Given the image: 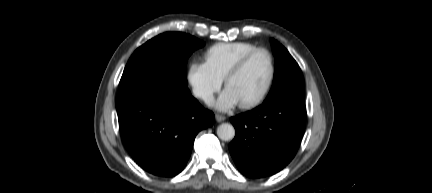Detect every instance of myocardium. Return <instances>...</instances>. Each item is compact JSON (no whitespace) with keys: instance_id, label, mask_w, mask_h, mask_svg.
<instances>
[{"instance_id":"1","label":"myocardium","mask_w":432,"mask_h":193,"mask_svg":"<svg viewBox=\"0 0 432 193\" xmlns=\"http://www.w3.org/2000/svg\"><path fill=\"white\" fill-rule=\"evenodd\" d=\"M260 52L267 54V56L269 58V62H270L269 78H268L267 84L264 87L263 91L257 97H255L254 99H252L250 101L243 102V103L239 104V106L242 109H250V108L258 106L269 95V93L272 89L274 80H275V76H276V63H275V57H274L272 51L270 49H268L267 47H262V46L254 48L253 50L248 52L238 62H236L234 64V66L229 70V72L227 73V75L224 79L225 87L228 88L230 81L246 66V64L253 58L254 55H256L257 53H260Z\"/></svg>"}]
</instances>
